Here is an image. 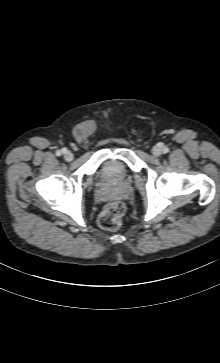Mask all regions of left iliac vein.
<instances>
[{
    "label": "left iliac vein",
    "instance_id": "obj_1",
    "mask_svg": "<svg viewBox=\"0 0 220 363\" xmlns=\"http://www.w3.org/2000/svg\"><path fill=\"white\" fill-rule=\"evenodd\" d=\"M152 153L154 156L158 157L162 154V148L158 145H155L153 148H152Z\"/></svg>",
    "mask_w": 220,
    "mask_h": 363
}]
</instances>
